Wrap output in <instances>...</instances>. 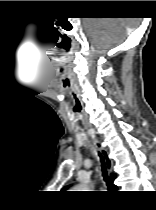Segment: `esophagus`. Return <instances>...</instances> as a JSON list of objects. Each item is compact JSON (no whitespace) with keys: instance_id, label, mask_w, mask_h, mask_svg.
Returning <instances> with one entry per match:
<instances>
[{"instance_id":"esophagus-1","label":"esophagus","mask_w":156,"mask_h":210,"mask_svg":"<svg viewBox=\"0 0 156 210\" xmlns=\"http://www.w3.org/2000/svg\"><path fill=\"white\" fill-rule=\"evenodd\" d=\"M93 142L95 144V146L100 150V153L104 159L105 165L107 170L110 172L112 169V160L110 159L107 150L98 142V140L96 138H93Z\"/></svg>"}]
</instances>
